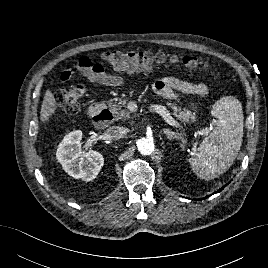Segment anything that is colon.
I'll return each mask as SVG.
<instances>
[{
	"label": "colon",
	"mask_w": 268,
	"mask_h": 268,
	"mask_svg": "<svg viewBox=\"0 0 268 268\" xmlns=\"http://www.w3.org/2000/svg\"><path fill=\"white\" fill-rule=\"evenodd\" d=\"M104 61L108 68L113 70H145L153 65L181 63L188 72L203 70L207 64L194 56L167 55L161 52H137L114 50L104 54ZM88 66L87 62L81 61L82 69ZM85 95L83 86H74L68 89L58 90L55 94L57 103L67 113H77Z\"/></svg>",
	"instance_id": "colon-1"
}]
</instances>
